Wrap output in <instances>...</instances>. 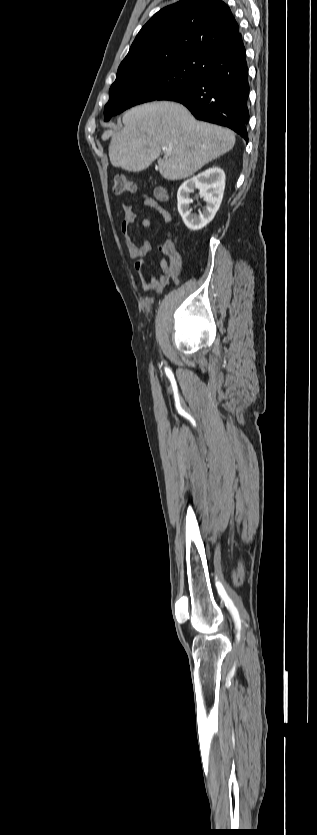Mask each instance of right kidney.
<instances>
[{
  "label": "right kidney",
  "mask_w": 317,
  "mask_h": 835,
  "mask_svg": "<svg viewBox=\"0 0 317 835\" xmlns=\"http://www.w3.org/2000/svg\"><path fill=\"white\" fill-rule=\"evenodd\" d=\"M198 189L200 197L206 201V205L199 215L191 214L190 193ZM225 189V173L219 167L213 166L198 175L187 179L179 187L177 192L178 211L184 224L193 231L200 230L206 226L218 211Z\"/></svg>",
  "instance_id": "1"
}]
</instances>
